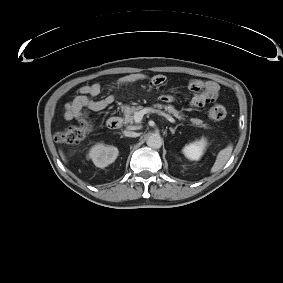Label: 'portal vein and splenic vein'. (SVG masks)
<instances>
[{"mask_svg":"<svg viewBox=\"0 0 283 283\" xmlns=\"http://www.w3.org/2000/svg\"><path fill=\"white\" fill-rule=\"evenodd\" d=\"M155 111L156 110H154L152 108H143L140 111L134 113L133 119H134L136 124H139L142 121V118L145 114L150 113V112H155ZM158 113H160L162 116H164L169 122L175 123V119L172 116H170V115H168L164 112H158Z\"/></svg>","mask_w":283,"mask_h":283,"instance_id":"portal-vein-and-splenic-vein-1","label":"portal vein and splenic vein"}]
</instances>
